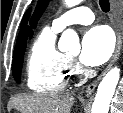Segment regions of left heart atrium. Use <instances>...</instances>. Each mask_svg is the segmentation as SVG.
Instances as JSON below:
<instances>
[{
  "mask_svg": "<svg viewBox=\"0 0 123 113\" xmlns=\"http://www.w3.org/2000/svg\"><path fill=\"white\" fill-rule=\"evenodd\" d=\"M114 49L111 31L104 26L89 29L82 40L80 60L86 66H98L106 62Z\"/></svg>",
  "mask_w": 123,
  "mask_h": 113,
  "instance_id": "1",
  "label": "left heart atrium"
}]
</instances>
